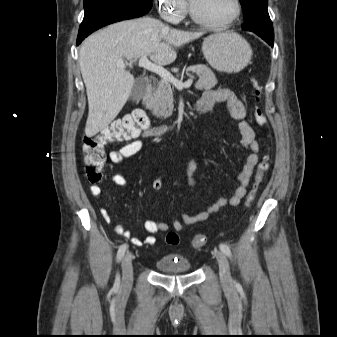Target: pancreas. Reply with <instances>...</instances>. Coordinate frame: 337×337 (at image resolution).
Returning a JSON list of instances; mask_svg holds the SVG:
<instances>
[{"label":"pancreas","mask_w":337,"mask_h":337,"mask_svg":"<svg viewBox=\"0 0 337 337\" xmlns=\"http://www.w3.org/2000/svg\"><path fill=\"white\" fill-rule=\"evenodd\" d=\"M190 71L196 73L199 77L195 87L198 90H208L217 84V79L213 71L206 65L192 66ZM189 75V73H187ZM173 91L170 82L161 79L155 88L150 100L149 108L158 118L166 119L173 112Z\"/></svg>","instance_id":"cf45deb5"}]
</instances>
